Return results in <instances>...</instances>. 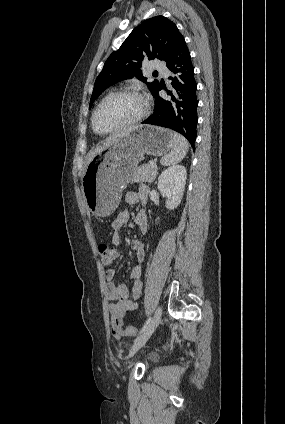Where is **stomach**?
<instances>
[{
    "instance_id": "obj_1",
    "label": "stomach",
    "mask_w": 285,
    "mask_h": 424,
    "mask_svg": "<svg viewBox=\"0 0 285 424\" xmlns=\"http://www.w3.org/2000/svg\"><path fill=\"white\" fill-rule=\"evenodd\" d=\"M173 143L172 131L142 125L95 155L82 176V193L89 211L97 217L111 215L138 163L145 155L167 154Z\"/></svg>"
}]
</instances>
